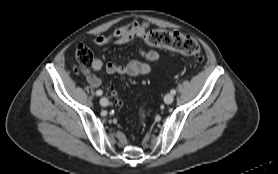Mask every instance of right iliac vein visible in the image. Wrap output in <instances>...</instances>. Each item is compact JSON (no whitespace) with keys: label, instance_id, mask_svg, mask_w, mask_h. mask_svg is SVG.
<instances>
[{"label":"right iliac vein","instance_id":"63e3f726","mask_svg":"<svg viewBox=\"0 0 278 174\" xmlns=\"http://www.w3.org/2000/svg\"><path fill=\"white\" fill-rule=\"evenodd\" d=\"M108 99L107 98H105V97H102L101 99H100V104L102 105V106H107L108 105Z\"/></svg>","mask_w":278,"mask_h":174}]
</instances>
